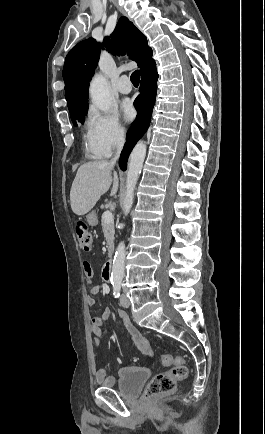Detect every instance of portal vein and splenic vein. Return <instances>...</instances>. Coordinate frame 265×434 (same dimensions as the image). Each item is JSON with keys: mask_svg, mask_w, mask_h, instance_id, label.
Segmentation results:
<instances>
[{"mask_svg": "<svg viewBox=\"0 0 265 434\" xmlns=\"http://www.w3.org/2000/svg\"><path fill=\"white\" fill-rule=\"evenodd\" d=\"M102 220H104V222H107V224L108 222H113L112 212H104Z\"/></svg>", "mask_w": 265, "mask_h": 434, "instance_id": "1", "label": "portal vein and splenic vein"}]
</instances>
